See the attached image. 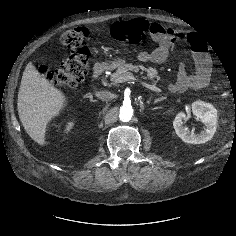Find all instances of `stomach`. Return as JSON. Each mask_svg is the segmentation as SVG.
Returning a JSON list of instances; mask_svg holds the SVG:
<instances>
[{
    "mask_svg": "<svg viewBox=\"0 0 236 236\" xmlns=\"http://www.w3.org/2000/svg\"><path fill=\"white\" fill-rule=\"evenodd\" d=\"M125 63V60L123 59H119L117 61L114 62V66H121Z\"/></svg>",
    "mask_w": 236,
    "mask_h": 236,
    "instance_id": "1",
    "label": "stomach"
}]
</instances>
